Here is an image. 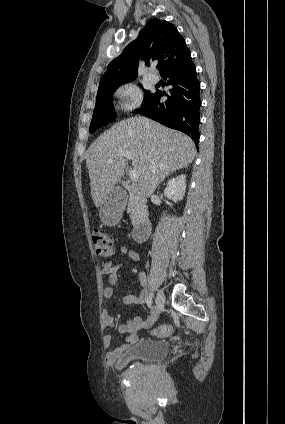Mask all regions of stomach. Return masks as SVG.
<instances>
[{"label":"stomach","mask_w":285,"mask_h":424,"mask_svg":"<svg viewBox=\"0 0 285 424\" xmlns=\"http://www.w3.org/2000/svg\"><path fill=\"white\" fill-rule=\"evenodd\" d=\"M125 208V200L111 192L105 201L100 205L99 216L102 222L108 226H113L120 220Z\"/></svg>","instance_id":"obj_1"}]
</instances>
